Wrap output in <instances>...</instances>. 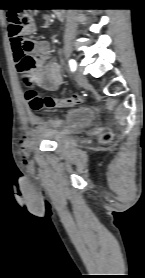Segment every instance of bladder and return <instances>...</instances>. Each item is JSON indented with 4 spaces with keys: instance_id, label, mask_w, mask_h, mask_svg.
<instances>
[{
    "instance_id": "obj_1",
    "label": "bladder",
    "mask_w": 145,
    "mask_h": 278,
    "mask_svg": "<svg viewBox=\"0 0 145 278\" xmlns=\"http://www.w3.org/2000/svg\"><path fill=\"white\" fill-rule=\"evenodd\" d=\"M94 120V113L88 108H72L67 111L56 128L44 131L43 136L56 145L66 143L73 134L89 127Z\"/></svg>"
}]
</instances>
